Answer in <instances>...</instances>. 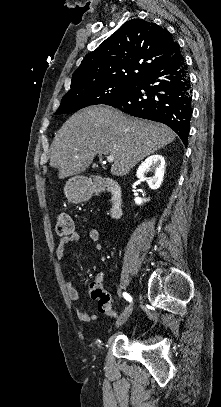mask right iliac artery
Listing matches in <instances>:
<instances>
[{"label": "right iliac artery", "instance_id": "obj_1", "mask_svg": "<svg viewBox=\"0 0 221 407\" xmlns=\"http://www.w3.org/2000/svg\"><path fill=\"white\" fill-rule=\"evenodd\" d=\"M123 296H124V298H125L127 301H129V302L132 301V298H131V296H130L128 293H123Z\"/></svg>", "mask_w": 221, "mask_h": 407}]
</instances>
